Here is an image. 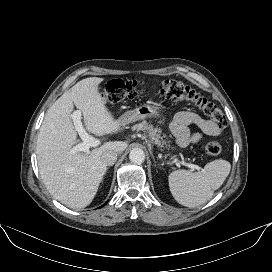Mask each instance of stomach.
<instances>
[{
  "mask_svg": "<svg viewBox=\"0 0 272 272\" xmlns=\"http://www.w3.org/2000/svg\"><path fill=\"white\" fill-rule=\"evenodd\" d=\"M160 118L162 117L161 108L155 104H143L134 110L125 112L119 119L120 125H126L138 120L146 118Z\"/></svg>",
  "mask_w": 272,
  "mask_h": 272,
  "instance_id": "obj_1",
  "label": "stomach"
}]
</instances>
